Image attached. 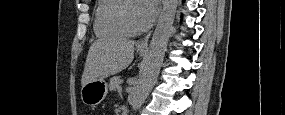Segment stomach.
<instances>
[{"label":"stomach","instance_id":"obj_1","mask_svg":"<svg viewBox=\"0 0 285 115\" xmlns=\"http://www.w3.org/2000/svg\"><path fill=\"white\" fill-rule=\"evenodd\" d=\"M138 52L139 54L145 53L142 50H138ZM107 92V83L104 80H93L82 86L81 100L85 105L94 107L104 100Z\"/></svg>","mask_w":285,"mask_h":115}]
</instances>
